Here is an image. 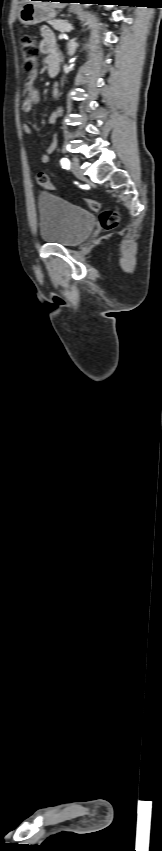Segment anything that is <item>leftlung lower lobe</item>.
Masks as SVG:
<instances>
[{"label":"left lung lower lobe","mask_w":162,"mask_h":851,"mask_svg":"<svg viewBox=\"0 0 162 851\" xmlns=\"http://www.w3.org/2000/svg\"><path fill=\"white\" fill-rule=\"evenodd\" d=\"M60 1L61 2H70V0H60ZM115 1L116 0H81L80 3L105 5V4H109L110 2H115Z\"/></svg>","instance_id":"1"}]
</instances>
